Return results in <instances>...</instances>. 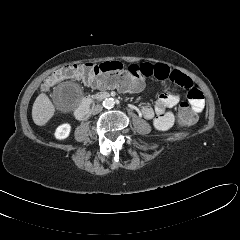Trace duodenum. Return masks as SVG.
I'll use <instances>...</instances> for the list:
<instances>
[{
	"instance_id": "410a0bca",
	"label": "duodenum",
	"mask_w": 240,
	"mask_h": 240,
	"mask_svg": "<svg viewBox=\"0 0 240 240\" xmlns=\"http://www.w3.org/2000/svg\"><path fill=\"white\" fill-rule=\"evenodd\" d=\"M109 97V94L107 92H101L94 96L93 99H87L85 100L76 110H75V116L79 120H84L88 117L90 113L91 106L93 104L94 100L100 101L104 100Z\"/></svg>"
}]
</instances>
